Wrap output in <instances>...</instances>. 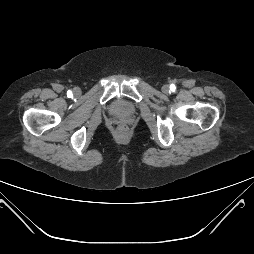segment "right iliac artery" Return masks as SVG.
I'll return each instance as SVG.
<instances>
[{"label":"right iliac artery","instance_id":"obj_1","mask_svg":"<svg viewBox=\"0 0 254 254\" xmlns=\"http://www.w3.org/2000/svg\"><path fill=\"white\" fill-rule=\"evenodd\" d=\"M67 95H68V97L72 96V91L69 90V91L67 92Z\"/></svg>","mask_w":254,"mask_h":254}]
</instances>
